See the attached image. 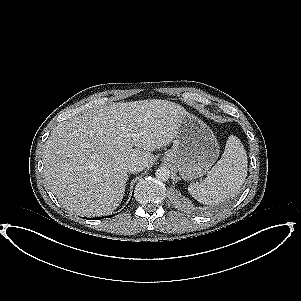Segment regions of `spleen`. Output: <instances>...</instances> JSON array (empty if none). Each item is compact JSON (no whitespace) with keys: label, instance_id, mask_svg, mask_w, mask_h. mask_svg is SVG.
Wrapping results in <instances>:
<instances>
[{"label":"spleen","instance_id":"spleen-1","mask_svg":"<svg viewBox=\"0 0 301 301\" xmlns=\"http://www.w3.org/2000/svg\"><path fill=\"white\" fill-rule=\"evenodd\" d=\"M247 166V155L241 142L230 137L221 159L205 179L190 183L188 191L203 204L222 202L238 193L247 176Z\"/></svg>","mask_w":301,"mask_h":301}]
</instances>
